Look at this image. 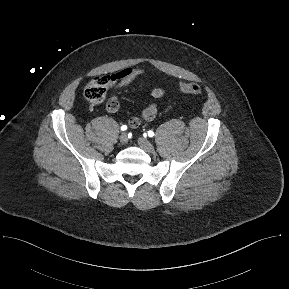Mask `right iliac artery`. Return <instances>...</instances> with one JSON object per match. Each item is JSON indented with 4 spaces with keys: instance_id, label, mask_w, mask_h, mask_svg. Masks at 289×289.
Returning <instances> with one entry per match:
<instances>
[{
    "instance_id": "obj_1",
    "label": "right iliac artery",
    "mask_w": 289,
    "mask_h": 289,
    "mask_svg": "<svg viewBox=\"0 0 289 289\" xmlns=\"http://www.w3.org/2000/svg\"><path fill=\"white\" fill-rule=\"evenodd\" d=\"M121 130H122V131L127 130V126H126V125L121 126Z\"/></svg>"
}]
</instances>
